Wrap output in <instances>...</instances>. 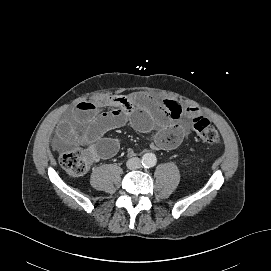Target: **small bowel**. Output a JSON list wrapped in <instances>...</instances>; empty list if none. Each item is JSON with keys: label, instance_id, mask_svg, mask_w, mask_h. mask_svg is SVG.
<instances>
[{"label": "small bowel", "instance_id": "c3829d8e", "mask_svg": "<svg viewBox=\"0 0 271 271\" xmlns=\"http://www.w3.org/2000/svg\"><path fill=\"white\" fill-rule=\"evenodd\" d=\"M103 108L110 110L104 112ZM196 113L198 109L195 107H183L171 99L158 101L145 92L100 97L75 106L71 114L58 125L54 145L59 149L88 146L93 161L107 159L118 152L119 143L116 139L106 137V134L131 122L142 132L158 129L155 147L173 149L190 133L180 118Z\"/></svg>", "mask_w": 271, "mask_h": 271}]
</instances>
